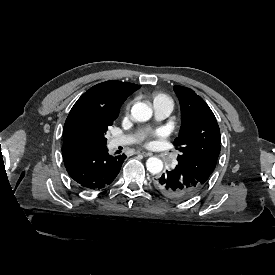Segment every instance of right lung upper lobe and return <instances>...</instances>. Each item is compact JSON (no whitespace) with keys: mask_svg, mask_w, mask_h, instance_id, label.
I'll list each match as a JSON object with an SVG mask.
<instances>
[{"mask_svg":"<svg viewBox=\"0 0 275 275\" xmlns=\"http://www.w3.org/2000/svg\"><path fill=\"white\" fill-rule=\"evenodd\" d=\"M139 85L121 81H106L99 83L84 93L72 107L63 130L64 138L69 128L80 118L88 115H118L123 101Z\"/></svg>","mask_w":275,"mask_h":275,"instance_id":"cb5924a9","label":"right lung upper lobe"}]
</instances>
